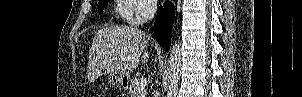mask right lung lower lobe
Listing matches in <instances>:
<instances>
[{
	"mask_svg": "<svg viewBox=\"0 0 302 97\" xmlns=\"http://www.w3.org/2000/svg\"><path fill=\"white\" fill-rule=\"evenodd\" d=\"M174 19V6L171 2L165 1L163 7L158 9L154 23V33L157 42L169 51L171 44V33Z\"/></svg>",
	"mask_w": 302,
	"mask_h": 97,
	"instance_id": "right-lung-lower-lobe-1",
	"label": "right lung lower lobe"
}]
</instances>
